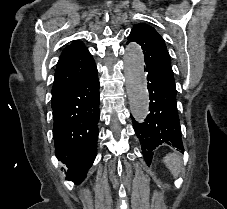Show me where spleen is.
Listing matches in <instances>:
<instances>
[{"mask_svg": "<svg viewBox=\"0 0 227 209\" xmlns=\"http://www.w3.org/2000/svg\"><path fill=\"white\" fill-rule=\"evenodd\" d=\"M163 163L174 177H178L181 169V159L179 155H176V153H170V155L164 157Z\"/></svg>", "mask_w": 227, "mask_h": 209, "instance_id": "spleen-1", "label": "spleen"}]
</instances>
